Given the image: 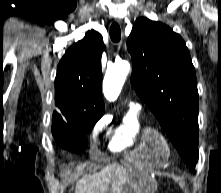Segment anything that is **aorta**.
I'll use <instances>...</instances> for the list:
<instances>
[{"instance_id": "obj_1", "label": "aorta", "mask_w": 221, "mask_h": 193, "mask_svg": "<svg viewBox=\"0 0 221 193\" xmlns=\"http://www.w3.org/2000/svg\"><path fill=\"white\" fill-rule=\"evenodd\" d=\"M129 71L128 61L116 62L107 70L103 80V93L107 100L115 101L118 98Z\"/></svg>"}]
</instances>
